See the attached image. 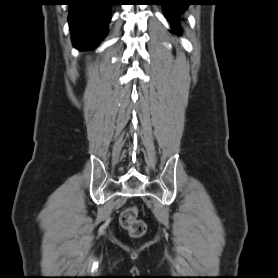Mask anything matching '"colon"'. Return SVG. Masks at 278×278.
I'll use <instances>...</instances> for the list:
<instances>
[{
  "label": "colon",
  "instance_id": "obj_1",
  "mask_svg": "<svg viewBox=\"0 0 278 278\" xmlns=\"http://www.w3.org/2000/svg\"><path fill=\"white\" fill-rule=\"evenodd\" d=\"M120 223L133 236H141L146 230L145 223L138 218L136 207L125 209L120 216Z\"/></svg>",
  "mask_w": 278,
  "mask_h": 278
}]
</instances>
